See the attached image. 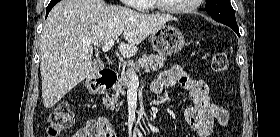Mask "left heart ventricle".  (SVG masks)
Masks as SVG:
<instances>
[{"instance_id":"1","label":"left heart ventricle","mask_w":280,"mask_h":137,"mask_svg":"<svg viewBox=\"0 0 280 137\" xmlns=\"http://www.w3.org/2000/svg\"><path fill=\"white\" fill-rule=\"evenodd\" d=\"M168 7L178 8L187 6L192 3V0H163Z\"/></svg>"}]
</instances>
